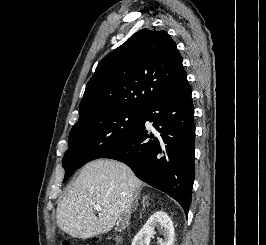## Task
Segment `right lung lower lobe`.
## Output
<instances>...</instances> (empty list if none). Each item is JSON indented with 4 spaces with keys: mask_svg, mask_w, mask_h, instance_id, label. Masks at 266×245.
<instances>
[{
    "mask_svg": "<svg viewBox=\"0 0 266 245\" xmlns=\"http://www.w3.org/2000/svg\"><path fill=\"white\" fill-rule=\"evenodd\" d=\"M191 92L187 80L165 91L145 110L132 137L101 157L128 165L139 179L174 198L186 215L195 175Z\"/></svg>",
    "mask_w": 266,
    "mask_h": 245,
    "instance_id": "98d812e1",
    "label": "right lung lower lobe"
}]
</instances>
